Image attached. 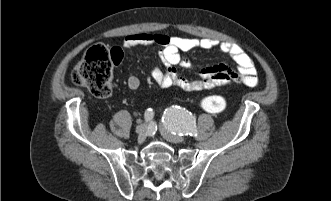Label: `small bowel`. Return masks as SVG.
<instances>
[{"label": "small bowel", "instance_id": "small-bowel-1", "mask_svg": "<svg viewBox=\"0 0 331 201\" xmlns=\"http://www.w3.org/2000/svg\"><path fill=\"white\" fill-rule=\"evenodd\" d=\"M151 45L161 46L160 56L165 69L155 67L151 71V76L163 88L176 86L185 91L194 92L231 83H240L249 87H254L258 83L257 70L252 58L238 44L209 38L195 39L159 33H134L125 38L122 47L127 51L136 46ZM198 48L204 50L217 48L222 53L228 54L235 62L236 70L224 64H216L200 69L196 79L181 76L177 66L191 69L192 64L185 53ZM127 86L133 91L139 88L140 79L136 74L128 75Z\"/></svg>", "mask_w": 331, "mask_h": 201}]
</instances>
